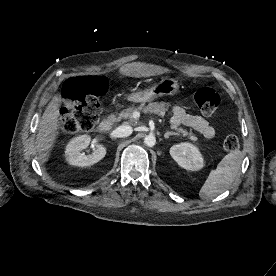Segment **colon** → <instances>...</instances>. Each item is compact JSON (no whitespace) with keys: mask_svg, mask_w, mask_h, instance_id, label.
<instances>
[{"mask_svg":"<svg viewBox=\"0 0 276 276\" xmlns=\"http://www.w3.org/2000/svg\"><path fill=\"white\" fill-rule=\"evenodd\" d=\"M109 85L101 77H79L68 80L63 89L64 97L71 107L62 113L63 130L67 134L88 131L95 125L100 113V97L108 90ZM194 102L205 115L214 114L220 104L217 91L211 87H200L194 92ZM223 148L234 152L239 148L236 136L226 137Z\"/></svg>","mask_w":276,"mask_h":276,"instance_id":"1","label":"colon"}]
</instances>
